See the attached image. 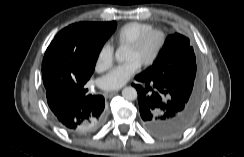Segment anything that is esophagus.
Segmentation results:
<instances>
[{
  "label": "esophagus",
  "instance_id": "34e87169",
  "mask_svg": "<svg viewBox=\"0 0 244 157\" xmlns=\"http://www.w3.org/2000/svg\"><path fill=\"white\" fill-rule=\"evenodd\" d=\"M118 91H119V90L109 91V92L106 93V95H107V97H112V96H114L115 94H117Z\"/></svg>",
  "mask_w": 244,
  "mask_h": 157
}]
</instances>
